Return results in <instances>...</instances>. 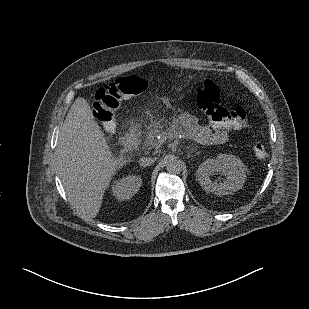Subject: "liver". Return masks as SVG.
<instances>
[{
    "label": "liver",
    "instance_id": "obj_1",
    "mask_svg": "<svg viewBox=\"0 0 309 309\" xmlns=\"http://www.w3.org/2000/svg\"><path fill=\"white\" fill-rule=\"evenodd\" d=\"M130 158L114 157L86 99L72 104L57 143L59 175L72 204L94 218L116 170Z\"/></svg>",
    "mask_w": 309,
    "mask_h": 309
}]
</instances>
